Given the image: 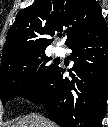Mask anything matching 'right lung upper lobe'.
I'll return each mask as SVG.
<instances>
[{
	"label": "right lung upper lobe",
	"instance_id": "cb5924a9",
	"mask_svg": "<svg viewBox=\"0 0 108 127\" xmlns=\"http://www.w3.org/2000/svg\"><path fill=\"white\" fill-rule=\"evenodd\" d=\"M96 0H36L19 11L3 47L1 65L45 53L53 36L64 30L65 44L102 18Z\"/></svg>",
	"mask_w": 108,
	"mask_h": 127
}]
</instances>
